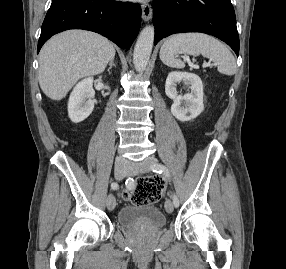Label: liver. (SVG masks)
Instances as JSON below:
<instances>
[{
    "label": "liver",
    "mask_w": 286,
    "mask_h": 269,
    "mask_svg": "<svg viewBox=\"0 0 286 269\" xmlns=\"http://www.w3.org/2000/svg\"><path fill=\"white\" fill-rule=\"evenodd\" d=\"M115 48L105 37L84 30L55 35L39 54V84L52 100L63 99L81 78L102 73Z\"/></svg>",
    "instance_id": "1"
}]
</instances>
